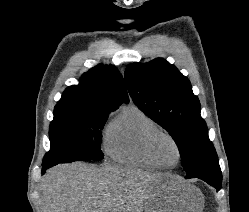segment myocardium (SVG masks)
I'll use <instances>...</instances> for the list:
<instances>
[{
  "instance_id": "f54148a6",
  "label": "myocardium",
  "mask_w": 249,
  "mask_h": 212,
  "mask_svg": "<svg viewBox=\"0 0 249 212\" xmlns=\"http://www.w3.org/2000/svg\"><path fill=\"white\" fill-rule=\"evenodd\" d=\"M164 138L170 140L177 151L178 159L175 164H168V163L163 162L157 154V150H156L157 143L159 140L164 139ZM147 152L151 160L156 165H158L161 168H166V169H172V168L177 167L181 163L182 157H183V152L177 139L169 132H166L163 130H157L149 136L148 141H147Z\"/></svg>"
}]
</instances>
